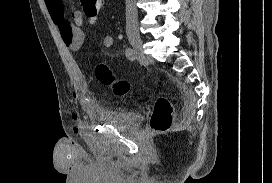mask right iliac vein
I'll use <instances>...</instances> for the list:
<instances>
[{"label": "right iliac vein", "mask_w": 272, "mask_h": 183, "mask_svg": "<svg viewBox=\"0 0 272 183\" xmlns=\"http://www.w3.org/2000/svg\"><path fill=\"white\" fill-rule=\"evenodd\" d=\"M128 39L130 44L132 45V47L138 51V52H142V46H143V41L141 39V36L139 34V32L137 31H130L128 33Z\"/></svg>", "instance_id": "obj_1"}]
</instances>
